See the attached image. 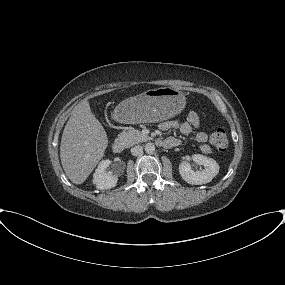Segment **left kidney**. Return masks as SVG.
<instances>
[{
  "label": "left kidney",
  "instance_id": "5707ae66",
  "mask_svg": "<svg viewBox=\"0 0 285 285\" xmlns=\"http://www.w3.org/2000/svg\"><path fill=\"white\" fill-rule=\"evenodd\" d=\"M192 159L198 165H203L204 169L194 171L188 162H182L179 165V173L187 183L194 185L206 184L219 173V165L214 159L200 154H194Z\"/></svg>",
  "mask_w": 285,
  "mask_h": 285
}]
</instances>
